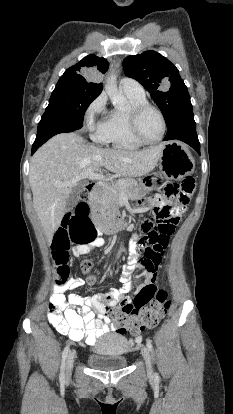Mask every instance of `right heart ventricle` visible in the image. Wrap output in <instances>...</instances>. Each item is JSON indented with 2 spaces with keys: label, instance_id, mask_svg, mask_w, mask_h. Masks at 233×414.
<instances>
[{
  "label": "right heart ventricle",
  "instance_id": "right-heart-ventricle-1",
  "mask_svg": "<svg viewBox=\"0 0 233 414\" xmlns=\"http://www.w3.org/2000/svg\"><path fill=\"white\" fill-rule=\"evenodd\" d=\"M124 93L129 101V108L147 102L145 95ZM128 109L115 108L110 111L103 125L104 142L117 149L135 150L144 144L139 142L129 130Z\"/></svg>",
  "mask_w": 233,
  "mask_h": 414
}]
</instances>
